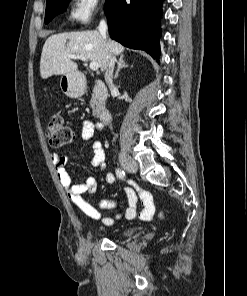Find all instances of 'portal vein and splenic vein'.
<instances>
[{"instance_id":"1","label":"portal vein and splenic vein","mask_w":247,"mask_h":296,"mask_svg":"<svg viewBox=\"0 0 247 296\" xmlns=\"http://www.w3.org/2000/svg\"><path fill=\"white\" fill-rule=\"evenodd\" d=\"M68 57L73 59H81L82 61H85V62L88 61V59H86L83 55H79V54H68ZM89 67L92 71H97L99 69V64L95 61H92L89 64Z\"/></svg>"}]
</instances>
